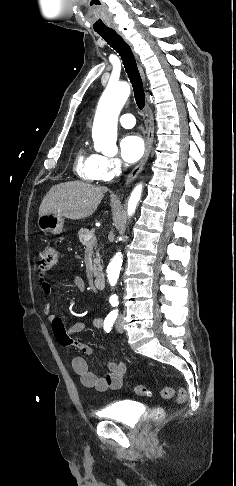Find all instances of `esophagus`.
I'll return each instance as SVG.
<instances>
[{
  "mask_svg": "<svg viewBox=\"0 0 236 486\" xmlns=\"http://www.w3.org/2000/svg\"><path fill=\"white\" fill-rule=\"evenodd\" d=\"M113 29L130 46L136 60L138 61V57L135 54L133 47H132L131 43L128 41V39L124 36V34L117 27H114ZM138 68H139V71L141 73L143 80H145L143 68L139 63H138ZM146 108H147V111H148V127H147V136H146V140H145V152H144V155H143L142 159L140 160V162L128 174L126 181H125V185H128L129 183H131L138 176V174L142 171L145 163L147 162V159L149 157L151 149H152L153 139H154V122H153V118H152L151 114L149 113L148 104H147Z\"/></svg>",
  "mask_w": 236,
  "mask_h": 486,
  "instance_id": "esophagus-1",
  "label": "esophagus"
}]
</instances>
